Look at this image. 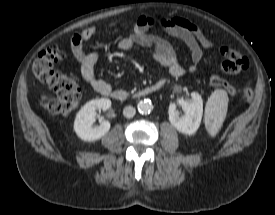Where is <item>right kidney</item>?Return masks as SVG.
Here are the masks:
<instances>
[{
	"instance_id": "right-kidney-1",
	"label": "right kidney",
	"mask_w": 275,
	"mask_h": 215,
	"mask_svg": "<svg viewBox=\"0 0 275 215\" xmlns=\"http://www.w3.org/2000/svg\"><path fill=\"white\" fill-rule=\"evenodd\" d=\"M111 107V101L106 98L87 102L77 113L74 122V131L84 141H96L103 137L110 129V123L103 121L99 126L93 127L96 110L106 111Z\"/></svg>"
}]
</instances>
